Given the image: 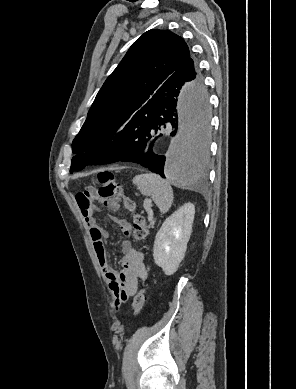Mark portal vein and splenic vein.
Instances as JSON below:
<instances>
[{
	"mask_svg": "<svg viewBox=\"0 0 296 389\" xmlns=\"http://www.w3.org/2000/svg\"><path fill=\"white\" fill-rule=\"evenodd\" d=\"M148 210V214L151 216L152 215V211L150 209H147Z\"/></svg>",
	"mask_w": 296,
	"mask_h": 389,
	"instance_id": "portal-vein-and-splenic-vein-1",
	"label": "portal vein and splenic vein"
}]
</instances>
